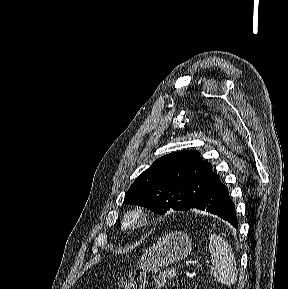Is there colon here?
Segmentation results:
<instances>
[{
	"instance_id": "5ec220e1",
	"label": "colon",
	"mask_w": 288,
	"mask_h": 289,
	"mask_svg": "<svg viewBox=\"0 0 288 289\" xmlns=\"http://www.w3.org/2000/svg\"><path fill=\"white\" fill-rule=\"evenodd\" d=\"M146 274L142 270H134L129 276L122 277L118 281V289H146Z\"/></svg>"
}]
</instances>
